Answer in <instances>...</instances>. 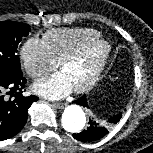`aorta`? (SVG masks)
Segmentation results:
<instances>
[{"label": "aorta", "mask_w": 153, "mask_h": 153, "mask_svg": "<svg viewBox=\"0 0 153 153\" xmlns=\"http://www.w3.org/2000/svg\"><path fill=\"white\" fill-rule=\"evenodd\" d=\"M61 123L67 132L78 133L86 124L85 112L78 105H69L63 111Z\"/></svg>", "instance_id": "762f6f07"}]
</instances>
